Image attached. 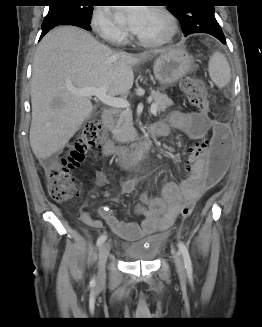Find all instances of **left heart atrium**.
<instances>
[{"instance_id": "1", "label": "left heart atrium", "mask_w": 262, "mask_h": 327, "mask_svg": "<svg viewBox=\"0 0 262 327\" xmlns=\"http://www.w3.org/2000/svg\"><path fill=\"white\" fill-rule=\"evenodd\" d=\"M149 11L146 7L130 6L118 8L117 15L130 30L137 32Z\"/></svg>"}]
</instances>
